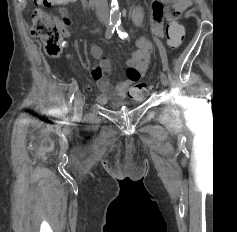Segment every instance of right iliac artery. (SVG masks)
Listing matches in <instances>:
<instances>
[{"mask_svg": "<svg viewBox=\"0 0 237 232\" xmlns=\"http://www.w3.org/2000/svg\"><path fill=\"white\" fill-rule=\"evenodd\" d=\"M115 28H116V25H114V24H109L108 25V27L106 29V32H105V37L107 39L111 38V36L113 35V33L115 31ZM77 89H78L77 82H76L75 79H73L72 83L70 85L69 93H68V104H69L70 108L72 106V101L74 99V94L77 91Z\"/></svg>", "mask_w": 237, "mask_h": 232, "instance_id": "right-iliac-artery-1", "label": "right iliac artery"}]
</instances>
